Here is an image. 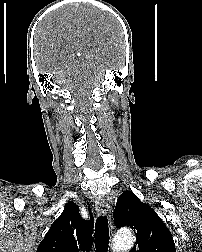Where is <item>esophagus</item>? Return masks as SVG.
<instances>
[{
	"mask_svg": "<svg viewBox=\"0 0 202 252\" xmlns=\"http://www.w3.org/2000/svg\"><path fill=\"white\" fill-rule=\"evenodd\" d=\"M95 208L98 215H107L111 224L110 207L102 200H96Z\"/></svg>",
	"mask_w": 202,
	"mask_h": 252,
	"instance_id": "1",
	"label": "esophagus"
}]
</instances>
